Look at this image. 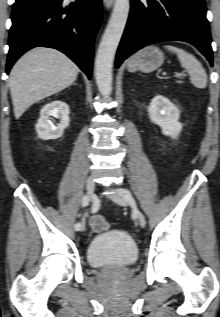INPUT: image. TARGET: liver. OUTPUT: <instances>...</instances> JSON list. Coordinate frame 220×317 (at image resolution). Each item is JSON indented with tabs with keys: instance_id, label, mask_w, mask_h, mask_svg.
<instances>
[{
	"instance_id": "6515ba94",
	"label": "liver",
	"mask_w": 220,
	"mask_h": 317,
	"mask_svg": "<svg viewBox=\"0 0 220 317\" xmlns=\"http://www.w3.org/2000/svg\"><path fill=\"white\" fill-rule=\"evenodd\" d=\"M78 73V66L56 49L38 47L25 53L9 78L15 118L19 119L35 102L69 87Z\"/></svg>"
}]
</instances>
